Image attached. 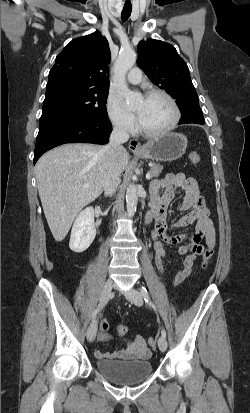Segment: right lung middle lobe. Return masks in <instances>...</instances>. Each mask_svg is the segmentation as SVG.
<instances>
[{
    "label": "right lung middle lobe",
    "instance_id": "right-lung-middle-lobe-1",
    "mask_svg": "<svg viewBox=\"0 0 250 413\" xmlns=\"http://www.w3.org/2000/svg\"><path fill=\"white\" fill-rule=\"evenodd\" d=\"M109 89L63 85L46 91L39 128L63 118H108Z\"/></svg>",
    "mask_w": 250,
    "mask_h": 413
}]
</instances>
